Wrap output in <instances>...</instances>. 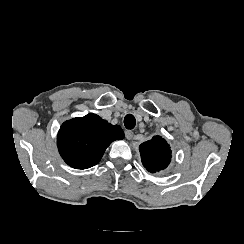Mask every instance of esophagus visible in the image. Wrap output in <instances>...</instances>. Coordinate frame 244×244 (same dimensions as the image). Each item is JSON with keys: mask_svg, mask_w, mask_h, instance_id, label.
<instances>
[{"mask_svg": "<svg viewBox=\"0 0 244 244\" xmlns=\"http://www.w3.org/2000/svg\"><path fill=\"white\" fill-rule=\"evenodd\" d=\"M125 137L128 139V140H131L133 138V132L131 130H126L125 131Z\"/></svg>", "mask_w": 244, "mask_h": 244, "instance_id": "1", "label": "esophagus"}]
</instances>
